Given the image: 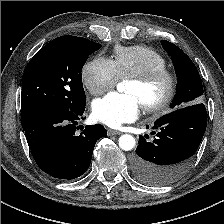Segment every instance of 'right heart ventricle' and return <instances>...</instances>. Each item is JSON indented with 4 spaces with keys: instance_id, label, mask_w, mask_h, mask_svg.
Returning a JSON list of instances; mask_svg holds the SVG:
<instances>
[{
    "instance_id": "obj_1",
    "label": "right heart ventricle",
    "mask_w": 224,
    "mask_h": 224,
    "mask_svg": "<svg viewBox=\"0 0 224 224\" xmlns=\"http://www.w3.org/2000/svg\"><path fill=\"white\" fill-rule=\"evenodd\" d=\"M113 63L120 78H131L150 70L166 67V59L145 46H119L115 49Z\"/></svg>"
}]
</instances>
